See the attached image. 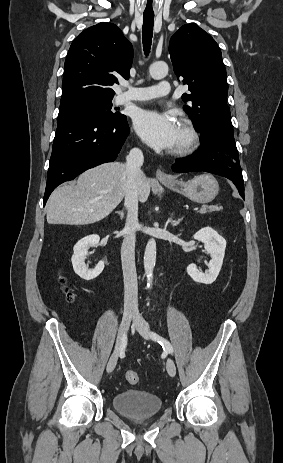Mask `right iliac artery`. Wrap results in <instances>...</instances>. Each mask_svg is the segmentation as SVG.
Masks as SVG:
<instances>
[{
	"label": "right iliac artery",
	"mask_w": 283,
	"mask_h": 463,
	"mask_svg": "<svg viewBox=\"0 0 283 463\" xmlns=\"http://www.w3.org/2000/svg\"><path fill=\"white\" fill-rule=\"evenodd\" d=\"M126 345H127V336L123 335L121 339V346H120L121 351L125 349Z\"/></svg>",
	"instance_id": "obj_1"
}]
</instances>
